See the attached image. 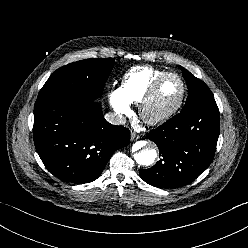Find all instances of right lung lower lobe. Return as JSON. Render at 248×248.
Returning <instances> with one entry per match:
<instances>
[{
	"label": "right lung lower lobe",
	"mask_w": 248,
	"mask_h": 248,
	"mask_svg": "<svg viewBox=\"0 0 248 248\" xmlns=\"http://www.w3.org/2000/svg\"><path fill=\"white\" fill-rule=\"evenodd\" d=\"M33 136L46 168L57 178L92 182L110 156L130 143V131L108 123L96 101L66 95L38 98Z\"/></svg>",
	"instance_id": "right-lung-lower-lobe-1"
}]
</instances>
